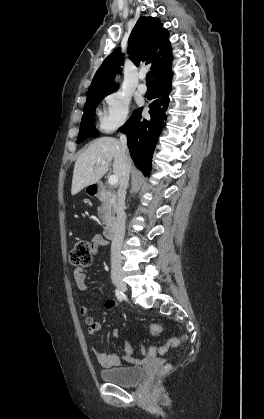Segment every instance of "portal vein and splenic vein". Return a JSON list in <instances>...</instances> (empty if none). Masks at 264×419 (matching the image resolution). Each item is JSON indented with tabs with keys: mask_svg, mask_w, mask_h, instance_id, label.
Masks as SVG:
<instances>
[{
	"mask_svg": "<svg viewBox=\"0 0 264 419\" xmlns=\"http://www.w3.org/2000/svg\"><path fill=\"white\" fill-rule=\"evenodd\" d=\"M102 164H105V162H102ZM90 170L92 171L93 169H90ZM108 183L111 186L116 185L118 183V176H116V175L110 176L109 179H108Z\"/></svg>",
	"mask_w": 264,
	"mask_h": 419,
	"instance_id": "portal-vein-and-splenic-vein-1",
	"label": "portal vein and splenic vein"
}]
</instances>
